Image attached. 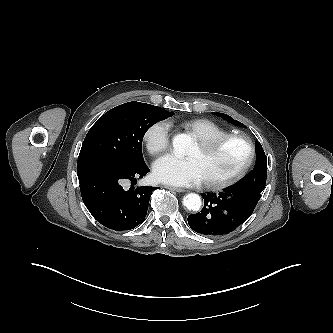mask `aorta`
<instances>
[{
  "label": "aorta",
  "mask_w": 333,
  "mask_h": 333,
  "mask_svg": "<svg viewBox=\"0 0 333 333\" xmlns=\"http://www.w3.org/2000/svg\"><path fill=\"white\" fill-rule=\"evenodd\" d=\"M172 145L174 148L175 155L178 157L184 156L190 145H191V138L189 135L181 133L177 134L172 139ZM183 205L192 211H198L201 208L202 201L198 194L196 193H189L183 198Z\"/></svg>",
  "instance_id": "1"
}]
</instances>
